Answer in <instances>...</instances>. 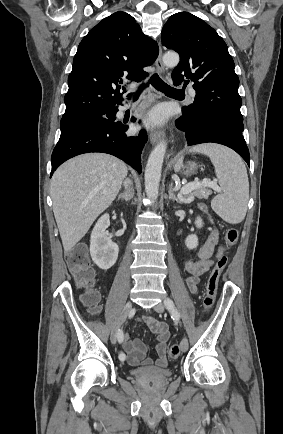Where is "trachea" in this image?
Masks as SVG:
<instances>
[{
  "label": "trachea",
  "mask_w": 283,
  "mask_h": 434,
  "mask_svg": "<svg viewBox=\"0 0 283 434\" xmlns=\"http://www.w3.org/2000/svg\"><path fill=\"white\" fill-rule=\"evenodd\" d=\"M149 83H150L154 88H156L157 90L163 92V93L166 94V95L184 94V92H183L182 90H178V89H175V88H173V87L167 85V84H166V83H165V82H164V81H163V80L158 76V74H153V75L151 76L149 82H148L146 85L143 84V85L141 86V89L139 90V92L142 91L146 86H148ZM139 94H140V93H138V94L136 95V97L139 96Z\"/></svg>",
  "instance_id": "1"
}]
</instances>
